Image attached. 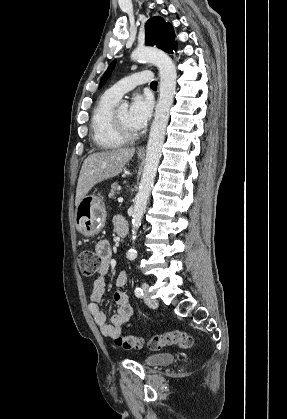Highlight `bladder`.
Listing matches in <instances>:
<instances>
[{
    "label": "bladder",
    "instance_id": "obj_1",
    "mask_svg": "<svg viewBox=\"0 0 287 419\" xmlns=\"http://www.w3.org/2000/svg\"><path fill=\"white\" fill-rule=\"evenodd\" d=\"M175 360L174 355L169 353L151 354L147 355L144 362L151 366L168 365L173 363Z\"/></svg>",
    "mask_w": 287,
    "mask_h": 419
}]
</instances>
